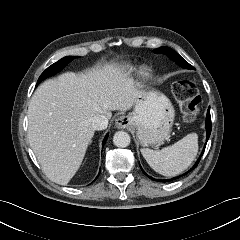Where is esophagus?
<instances>
[{
  "instance_id": "34e87169",
  "label": "esophagus",
  "mask_w": 240,
  "mask_h": 240,
  "mask_svg": "<svg viewBox=\"0 0 240 240\" xmlns=\"http://www.w3.org/2000/svg\"><path fill=\"white\" fill-rule=\"evenodd\" d=\"M132 123V120L130 117L128 116H120L116 119V126L119 129H126L128 128Z\"/></svg>"
}]
</instances>
